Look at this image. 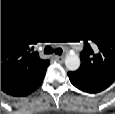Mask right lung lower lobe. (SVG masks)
I'll use <instances>...</instances> for the list:
<instances>
[{
  "mask_svg": "<svg viewBox=\"0 0 115 114\" xmlns=\"http://www.w3.org/2000/svg\"><path fill=\"white\" fill-rule=\"evenodd\" d=\"M44 76H45V74L40 78V80L37 82V84L35 85V87L32 88L30 91H28L26 93H22V94H14L13 96H26V95L30 94L31 92H33L34 90H36L41 85Z\"/></svg>",
  "mask_w": 115,
  "mask_h": 114,
  "instance_id": "obj_1",
  "label": "right lung lower lobe"
}]
</instances>
